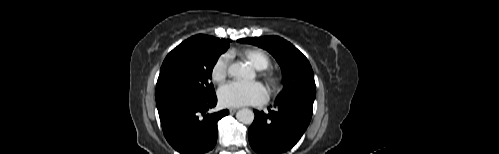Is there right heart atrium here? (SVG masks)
I'll return each mask as SVG.
<instances>
[{
    "label": "right heart atrium",
    "mask_w": 499,
    "mask_h": 154,
    "mask_svg": "<svg viewBox=\"0 0 499 154\" xmlns=\"http://www.w3.org/2000/svg\"><path fill=\"white\" fill-rule=\"evenodd\" d=\"M228 73V60L225 57H219L212 65L210 76L216 83H221L225 80Z\"/></svg>",
    "instance_id": "obj_1"
}]
</instances>
